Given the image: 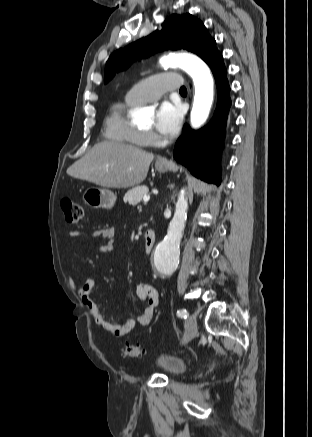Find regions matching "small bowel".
<instances>
[{
  "label": "small bowel",
  "instance_id": "c3829d8e",
  "mask_svg": "<svg viewBox=\"0 0 312 437\" xmlns=\"http://www.w3.org/2000/svg\"><path fill=\"white\" fill-rule=\"evenodd\" d=\"M115 234L116 230L112 226L104 227L91 233L80 231L69 232V235L73 238L86 235L92 238L105 239V243L100 247V250L103 252H112L114 250ZM96 286V279L89 277L85 280V283L82 287L76 288V291L79 294L82 303L88 308L98 326L102 327L104 330L116 337H122L129 333L136 325L148 326L151 323L159 304V294L154 286L148 283H140L137 285V298L141 301H144L146 305L141 313L127 319L125 322L120 324L109 321L105 317L100 306L94 300L92 292Z\"/></svg>",
  "mask_w": 312,
  "mask_h": 437
}]
</instances>
